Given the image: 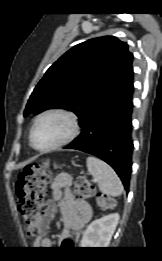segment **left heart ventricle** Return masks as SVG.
<instances>
[{
    "label": "left heart ventricle",
    "instance_id": "1",
    "mask_svg": "<svg viewBox=\"0 0 162 261\" xmlns=\"http://www.w3.org/2000/svg\"><path fill=\"white\" fill-rule=\"evenodd\" d=\"M69 131V122L59 115H51L43 118L34 130V144L44 148L54 144L63 138Z\"/></svg>",
    "mask_w": 162,
    "mask_h": 261
}]
</instances>
